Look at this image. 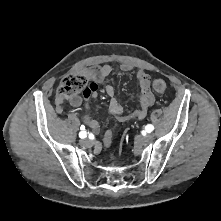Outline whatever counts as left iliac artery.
<instances>
[{
    "instance_id": "44dca946",
    "label": "left iliac artery",
    "mask_w": 221,
    "mask_h": 221,
    "mask_svg": "<svg viewBox=\"0 0 221 221\" xmlns=\"http://www.w3.org/2000/svg\"><path fill=\"white\" fill-rule=\"evenodd\" d=\"M145 130H146V132L150 133L154 130V126L151 124H148L145 126Z\"/></svg>"
}]
</instances>
